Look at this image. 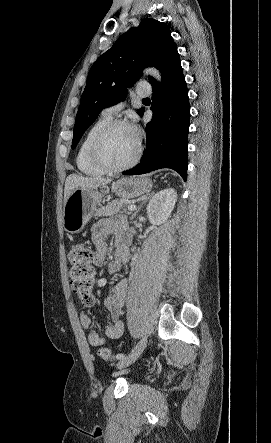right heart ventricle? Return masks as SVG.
Instances as JSON below:
<instances>
[{
  "mask_svg": "<svg viewBox=\"0 0 271 443\" xmlns=\"http://www.w3.org/2000/svg\"><path fill=\"white\" fill-rule=\"evenodd\" d=\"M111 119V115H102L97 120H95L86 131L78 146L75 155V164L77 169L87 176L96 177L105 173V171L98 165H96L92 160L91 146L99 131Z\"/></svg>",
  "mask_w": 271,
  "mask_h": 443,
  "instance_id": "1",
  "label": "right heart ventricle"
}]
</instances>
